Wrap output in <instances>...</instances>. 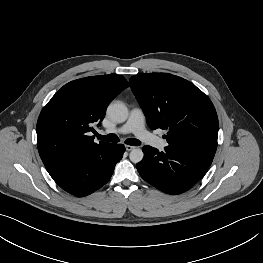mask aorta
I'll return each instance as SVG.
<instances>
[{"label": "aorta", "mask_w": 263, "mask_h": 263, "mask_svg": "<svg viewBox=\"0 0 263 263\" xmlns=\"http://www.w3.org/2000/svg\"><path fill=\"white\" fill-rule=\"evenodd\" d=\"M108 116L117 123L125 122L128 118V108L121 101L111 102L107 108ZM144 157L140 148H134L129 155L131 162L139 163Z\"/></svg>", "instance_id": "aorta-1"}]
</instances>
